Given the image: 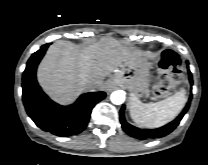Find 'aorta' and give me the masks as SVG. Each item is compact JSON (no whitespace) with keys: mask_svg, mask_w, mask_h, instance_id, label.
Returning <instances> with one entry per match:
<instances>
[{"mask_svg":"<svg viewBox=\"0 0 208 165\" xmlns=\"http://www.w3.org/2000/svg\"><path fill=\"white\" fill-rule=\"evenodd\" d=\"M110 99L113 104L120 105L125 101V93L121 90L114 91L112 92Z\"/></svg>","mask_w":208,"mask_h":165,"instance_id":"aorta-1","label":"aorta"}]
</instances>
